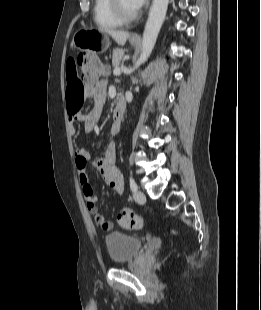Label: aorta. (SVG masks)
I'll list each match as a JSON object with an SVG mask.
<instances>
[{
  "mask_svg": "<svg viewBox=\"0 0 261 310\" xmlns=\"http://www.w3.org/2000/svg\"><path fill=\"white\" fill-rule=\"evenodd\" d=\"M169 0H153L149 17L145 25L142 38V48L140 54V62L147 61L154 49L159 31L164 22Z\"/></svg>",
  "mask_w": 261,
  "mask_h": 310,
  "instance_id": "762f6f07",
  "label": "aorta"
}]
</instances>
